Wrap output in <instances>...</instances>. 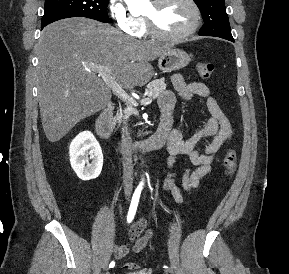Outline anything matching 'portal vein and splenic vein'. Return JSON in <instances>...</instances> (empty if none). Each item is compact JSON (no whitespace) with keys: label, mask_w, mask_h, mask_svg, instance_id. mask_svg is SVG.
Returning a JSON list of instances; mask_svg holds the SVG:
<instances>
[{"label":"portal vein and splenic vein","mask_w":289,"mask_h":274,"mask_svg":"<svg viewBox=\"0 0 289 274\" xmlns=\"http://www.w3.org/2000/svg\"><path fill=\"white\" fill-rule=\"evenodd\" d=\"M93 70L96 71L104 80V82L112 89V91L114 93H116L120 98H122L125 101H129L132 103H136V101L130 96L128 95L123 88L121 87V85H119L117 83V81L115 80L114 77H112L111 75V69L110 67H106V66H94ZM153 101V99L151 97H147L145 99H143L141 101V104L144 105H148L151 104Z\"/></svg>","instance_id":"obj_1"}]
</instances>
